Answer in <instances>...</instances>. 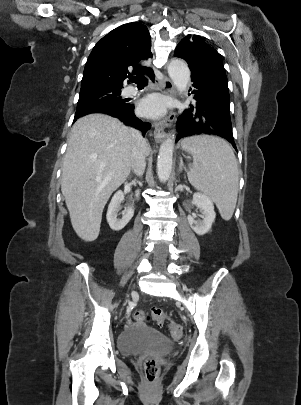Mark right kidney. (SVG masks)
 <instances>
[{
  "label": "right kidney",
  "mask_w": 301,
  "mask_h": 405,
  "mask_svg": "<svg viewBox=\"0 0 301 405\" xmlns=\"http://www.w3.org/2000/svg\"><path fill=\"white\" fill-rule=\"evenodd\" d=\"M139 194L140 192L139 190H137L135 196L138 198ZM123 200H124V193L121 190H119L114 194L108 206L106 218L110 228L114 231H119L123 229L134 215V207L129 206L128 208H126L125 213H123L122 218L121 219L117 218L120 209V204L121 202H123Z\"/></svg>",
  "instance_id": "ca27d5eb"
}]
</instances>
